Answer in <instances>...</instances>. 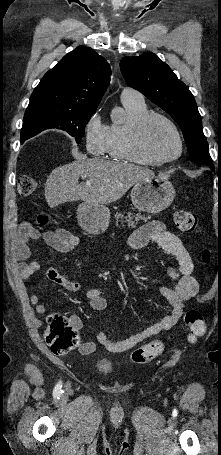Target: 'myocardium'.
I'll use <instances>...</instances> for the list:
<instances>
[{"label":"myocardium","mask_w":221,"mask_h":455,"mask_svg":"<svg viewBox=\"0 0 221 455\" xmlns=\"http://www.w3.org/2000/svg\"><path fill=\"white\" fill-rule=\"evenodd\" d=\"M155 120H161V121L165 122L174 132V134L177 138V141H178V145H179L178 153L175 156L170 157V158H159V157L155 156L151 152V150L148 148V146L146 144V134H147L148 127ZM131 145L137 153L146 157L148 160H150L154 164H166V163L176 161L181 157L183 150H184L183 137H182L181 132L178 129L177 125L166 115H163L161 113H156V112L147 113L133 125L132 130H131Z\"/></svg>","instance_id":"myocardium-1"}]
</instances>
